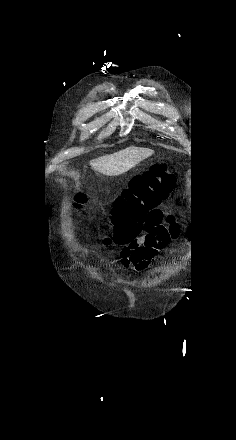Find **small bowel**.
Wrapping results in <instances>:
<instances>
[{"label":"small bowel","mask_w":236,"mask_h":440,"mask_svg":"<svg viewBox=\"0 0 236 440\" xmlns=\"http://www.w3.org/2000/svg\"><path fill=\"white\" fill-rule=\"evenodd\" d=\"M145 234L134 237L119 250L121 263L145 269L150 260L181 235V226L173 213L165 214L161 208L151 210L143 223Z\"/></svg>","instance_id":"1"}]
</instances>
